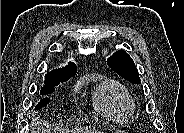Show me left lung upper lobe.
<instances>
[{
    "mask_svg": "<svg viewBox=\"0 0 184 133\" xmlns=\"http://www.w3.org/2000/svg\"><path fill=\"white\" fill-rule=\"evenodd\" d=\"M107 64L114 72L132 84L140 83L138 70L132 58L124 50L115 52L107 59Z\"/></svg>",
    "mask_w": 184,
    "mask_h": 133,
    "instance_id": "left-lung-upper-lobe-1",
    "label": "left lung upper lobe"
}]
</instances>
